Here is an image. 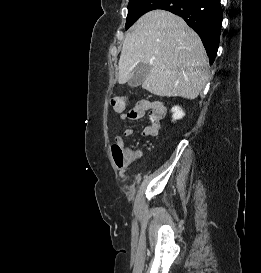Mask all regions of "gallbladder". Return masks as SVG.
Wrapping results in <instances>:
<instances>
[{
	"mask_svg": "<svg viewBox=\"0 0 261 273\" xmlns=\"http://www.w3.org/2000/svg\"><path fill=\"white\" fill-rule=\"evenodd\" d=\"M150 71H151L150 65L143 64V63L138 64L134 69L133 76L128 81V85L130 87L140 86L144 82V80L147 78Z\"/></svg>",
	"mask_w": 261,
	"mask_h": 273,
	"instance_id": "1",
	"label": "gallbladder"
}]
</instances>
